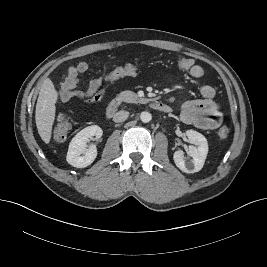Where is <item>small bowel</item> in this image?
I'll return each mask as SVG.
<instances>
[{"instance_id":"c3829d8e","label":"small bowel","mask_w":267,"mask_h":267,"mask_svg":"<svg viewBox=\"0 0 267 267\" xmlns=\"http://www.w3.org/2000/svg\"><path fill=\"white\" fill-rule=\"evenodd\" d=\"M88 68L89 65L85 61H79L68 68L57 92L59 104L68 102L75 97L83 98L90 105H95L103 99L105 94L104 76L95 77L89 81L86 87H80V76ZM189 74L193 78L200 79L204 76V69L200 65H193ZM200 93L201 99L188 100L181 105L180 118L184 123L194 125L199 129H216L222 122V114L218 103L214 100L215 88L209 83H204L200 88Z\"/></svg>"}]
</instances>
